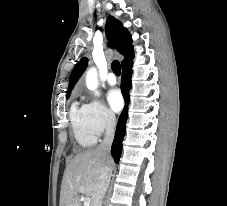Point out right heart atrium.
Returning <instances> with one entry per match:
<instances>
[{
  "mask_svg": "<svg viewBox=\"0 0 227 206\" xmlns=\"http://www.w3.org/2000/svg\"><path fill=\"white\" fill-rule=\"evenodd\" d=\"M85 114L91 131L100 136L113 129L115 117L98 99H90L84 105Z\"/></svg>",
  "mask_w": 227,
  "mask_h": 206,
  "instance_id": "obj_1",
  "label": "right heart atrium"
}]
</instances>
